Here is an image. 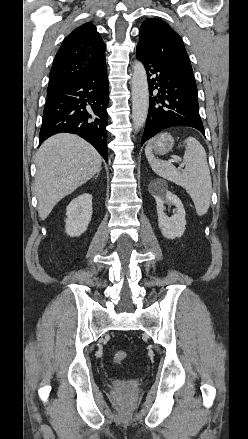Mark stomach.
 Here are the masks:
<instances>
[{
  "mask_svg": "<svg viewBox=\"0 0 248 439\" xmlns=\"http://www.w3.org/2000/svg\"><path fill=\"white\" fill-rule=\"evenodd\" d=\"M148 145L154 153L164 155L172 149L174 139L170 133L165 132L152 139Z\"/></svg>",
  "mask_w": 248,
  "mask_h": 439,
  "instance_id": "obj_1",
  "label": "stomach"
}]
</instances>
